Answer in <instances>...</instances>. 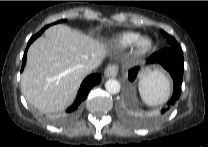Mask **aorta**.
<instances>
[{"label":"aorta","mask_w":208,"mask_h":147,"mask_svg":"<svg viewBox=\"0 0 208 147\" xmlns=\"http://www.w3.org/2000/svg\"><path fill=\"white\" fill-rule=\"evenodd\" d=\"M120 83L115 79H109L105 83V89L110 94H117L120 91Z\"/></svg>","instance_id":"762f6f07"}]
</instances>
